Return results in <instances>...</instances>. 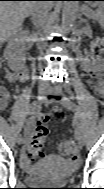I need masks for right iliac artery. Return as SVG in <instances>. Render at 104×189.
<instances>
[{
	"instance_id": "obj_1",
	"label": "right iliac artery",
	"mask_w": 104,
	"mask_h": 189,
	"mask_svg": "<svg viewBox=\"0 0 104 189\" xmlns=\"http://www.w3.org/2000/svg\"><path fill=\"white\" fill-rule=\"evenodd\" d=\"M40 110H41V105H35L30 110L29 115L31 116V118H34L35 115L38 114ZM23 128L24 125H20L19 130H16V133H21V130H23ZM21 137H24V134H21Z\"/></svg>"
}]
</instances>
